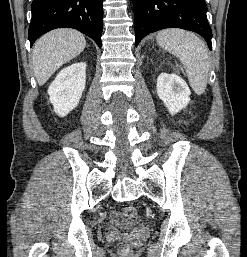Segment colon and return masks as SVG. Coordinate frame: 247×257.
<instances>
[{"instance_id":"colon-1","label":"colon","mask_w":247,"mask_h":257,"mask_svg":"<svg viewBox=\"0 0 247 257\" xmlns=\"http://www.w3.org/2000/svg\"><path fill=\"white\" fill-rule=\"evenodd\" d=\"M123 214H124L126 219L134 220L136 218V215H137V210L133 206H128L123 210ZM123 249H125V248H123Z\"/></svg>"}]
</instances>
